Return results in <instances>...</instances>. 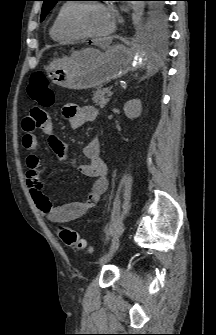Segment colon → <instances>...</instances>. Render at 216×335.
<instances>
[{
	"label": "colon",
	"instance_id": "1",
	"mask_svg": "<svg viewBox=\"0 0 216 335\" xmlns=\"http://www.w3.org/2000/svg\"><path fill=\"white\" fill-rule=\"evenodd\" d=\"M27 92L35 104H41L42 108H50L55 102V92L49 86L45 74L41 71H35L31 74ZM57 233L64 244L74 250L83 252L91 251V247L88 243L82 239L74 229L64 224H59L57 226Z\"/></svg>",
	"mask_w": 216,
	"mask_h": 335
}]
</instances>
